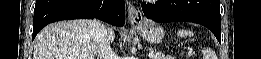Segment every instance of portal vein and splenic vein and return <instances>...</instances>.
<instances>
[{"mask_svg": "<svg viewBox=\"0 0 261 59\" xmlns=\"http://www.w3.org/2000/svg\"><path fill=\"white\" fill-rule=\"evenodd\" d=\"M154 56H155V55H154L153 52H150V53H149V57H150V58H153Z\"/></svg>", "mask_w": 261, "mask_h": 59, "instance_id": "1", "label": "portal vein and splenic vein"}]
</instances>
